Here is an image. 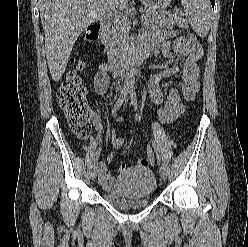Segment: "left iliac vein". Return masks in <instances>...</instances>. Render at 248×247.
<instances>
[{"mask_svg":"<svg viewBox=\"0 0 248 247\" xmlns=\"http://www.w3.org/2000/svg\"><path fill=\"white\" fill-rule=\"evenodd\" d=\"M159 171H160V177H161L163 180H165L166 177H167V168H166V166H165L164 164H161V165H160Z\"/></svg>","mask_w":248,"mask_h":247,"instance_id":"left-iliac-vein-1","label":"left iliac vein"}]
</instances>
